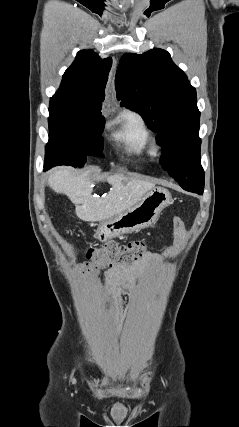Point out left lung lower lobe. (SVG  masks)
<instances>
[{"instance_id":"obj_1","label":"left lung lower lobe","mask_w":239,"mask_h":427,"mask_svg":"<svg viewBox=\"0 0 239 427\" xmlns=\"http://www.w3.org/2000/svg\"><path fill=\"white\" fill-rule=\"evenodd\" d=\"M180 186L186 191L202 195L204 190V175L190 184H187V185L182 184Z\"/></svg>"}]
</instances>
